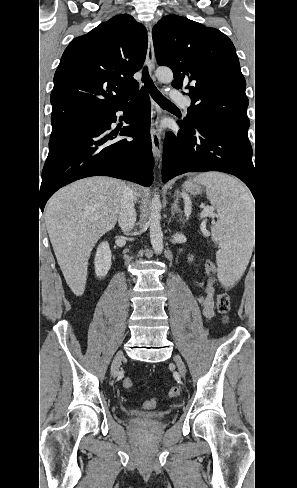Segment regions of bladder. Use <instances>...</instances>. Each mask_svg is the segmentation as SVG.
<instances>
[{
  "label": "bladder",
  "mask_w": 297,
  "mask_h": 488,
  "mask_svg": "<svg viewBox=\"0 0 297 488\" xmlns=\"http://www.w3.org/2000/svg\"><path fill=\"white\" fill-rule=\"evenodd\" d=\"M127 415L131 418L140 419L143 421H150V420H162L165 417V413L163 412H138L135 410H130L127 412Z\"/></svg>",
  "instance_id": "obj_1"
}]
</instances>
